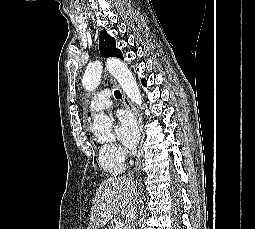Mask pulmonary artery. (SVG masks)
Instances as JSON below:
<instances>
[{"mask_svg": "<svg viewBox=\"0 0 255 229\" xmlns=\"http://www.w3.org/2000/svg\"><path fill=\"white\" fill-rule=\"evenodd\" d=\"M111 91L109 89H103L94 94L90 102V112H100L111 107L112 102L110 100Z\"/></svg>", "mask_w": 255, "mask_h": 229, "instance_id": "pulmonary-artery-1", "label": "pulmonary artery"}]
</instances>
